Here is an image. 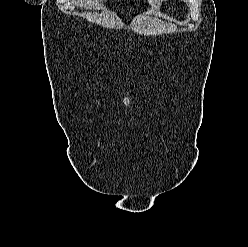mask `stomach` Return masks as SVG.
<instances>
[{
  "label": "stomach",
  "mask_w": 248,
  "mask_h": 247,
  "mask_svg": "<svg viewBox=\"0 0 248 247\" xmlns=\"http://www.w3.org/2000/svg\"><path fill=\"white\" fill-rule=\"evenodd\" d=\"M157 13H158V14H161V12H160V10H159V9L157 10Z\"/></svg>",
  "instance_id": "obj_1"
}]
</instances>
